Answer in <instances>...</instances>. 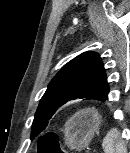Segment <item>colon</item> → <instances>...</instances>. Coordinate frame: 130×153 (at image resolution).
Wrapping results in <instances>:
<instances>
[{"label": "colon", "instance_id": "colon-1", "mask_svg": "<svg viewBox=\"0 0 130 153\" xmlns=\"http://www.w3.org/2000/svg\"><path fill=\"white\" fill-rule=\"evenodd\" d=\"M38 153H60L61 149L55 134H47L42 137L37 146Z\"/></svg>", "mask_w": 130, "mask_h": 153}]
</instances>
